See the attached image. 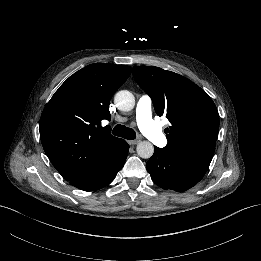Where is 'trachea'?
Wrapping results in <instances>:
<instances>
[{"mask_svg": "<svg viewBox=\"0 0 261 261\" xmlns=\"http://www.w3.org/2000/svg\"><path fill=\"white\" fill-rule=\"evenodd\" d=\"M113 135L122 137L124 139H135L136 134L132 128H128L122 124H118L114 127L112 131Z\"/></svg>", "mask_w": 261, "mask_h": 261, "instance_id": "trachea-1", "label": "trachea"}]
</instances>
